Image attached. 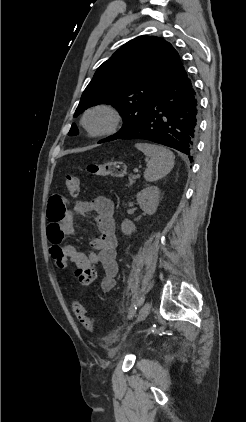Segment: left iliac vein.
Here are the masks:
<instances>
[{"instance_id":"1","label":"left iliac vein","mask_w":246,"mask_h":422,"mask_svg":"<svg viewBox=\"0 0 246 422\" xmlns=\"http://www.w3.org/2000/svg\"><path fill=\"white\" fill-rule=\"evenodd\" d=\"M150 310H151V304L150 303H145L143 306H142V308H141V310H140V312H139V315H138V317H137V319H136V321H135V324H137V323H139V322H141V321H143L148 315H149V313H150ZM130 330V329H129Z\"/></svg>"}]
</instances>
